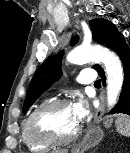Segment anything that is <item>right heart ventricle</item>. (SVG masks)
I'll return each instance as SVG.
<instances>
[{
	"label": "right heart ventricle",
	"mask_w": 130,
	"mask_h": 153,
	"mask_svg": "<svg viewBox=\"0 0 130 153\" xmlns=\"http://www.w3.org/2000/svg\"><path fill=\"white\" fill-rule=\"evenodd\" d=\"M28 119V118H27ZM27 119L24 121L22 128H21V140L24 143V145L32 150V151H36V152H43L46 151L50 148L51 145L49 144H43V143H37L32 141L27 132H26V121Z\"/></svg>",
	"instance_id": "e07e8e85"
}]
</instances>
